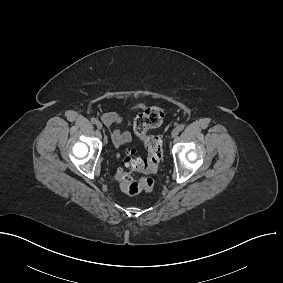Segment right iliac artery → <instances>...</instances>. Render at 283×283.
Returning <instances> with one entry per match:
<instances>
[{"mask_svg":"<svg viewBox=\"0 0 283 283\" xmlns=\"http://www.w3.org/2000/svg\"><path fill=\"white\" fill-rule=\"evenodd\" d=\"M91 122H92L93 124H97L99 121H98L96 118H91Z\"/></svg>","mask_w":283,"mask_h":283,"instance_id":"obj_1","label":"right iliac artery"}]
</instances>
